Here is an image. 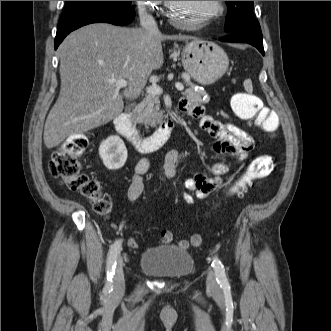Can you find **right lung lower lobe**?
Listing matches in <instances>:
<instances>
[{
  "label": "right lung lower lobe",
  "instance_id": "98d812e1",
  "mask_svg": "<svg viewBox=\"0 0 331 331\" xmlns=\"http://www.w3.org/2000/svg\"><path fill=\"white\" fill-rule=\"evenodd\" d=\"M135 18V12L132 6H122L116 8L97 10L76 17L70 21L60 23L57 27L55 37V49L62 40L73 30L87 24L105 22L118 26H125L131 23Z\"/></svg>",
  "mask_w": 331,
  "mask_h": 331
}]
</instances>
